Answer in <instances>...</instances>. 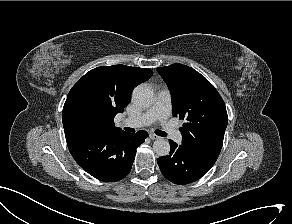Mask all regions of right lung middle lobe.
<instances>
[{
	"label": "right lung middle lobe",
	"mask_w": 292,
	"mask_h": 224,
	"mask_svg": "<svg viewBox=\"0 0 292 224\" xmlns=\"http://www.w3.org/2000/svg\"><path fill=\"white\" fill-rule=\"evenodd\" d=\"M71 117L76 126L89 130L95 124L96 111L90 104L80 102L74 106Z\"/></svg>",
	"instance_id": "obj_1"
}]
</instances>
